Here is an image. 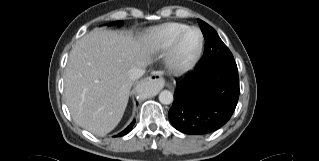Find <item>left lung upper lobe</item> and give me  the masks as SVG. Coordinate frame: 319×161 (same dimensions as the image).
<instances>
[{
    "instance_id": "5c2ea615",
    "label": "left lung upper lobe",
    "mask_w": 319,
    "mask_h": 161,
    "mask_svg": "<svg viewBox=\"0 0 319 161\" xmlns=\"http://www.w3.org/2000/svg\"><path fill=\"white\" fill-rule=\"evenodd\" d=\"M205 38L204 54L197 68L223 66L237 69L234 57L228 47L222 42L217 32L204 21L197 19Z\"/></svg>"
}]
</instances>
